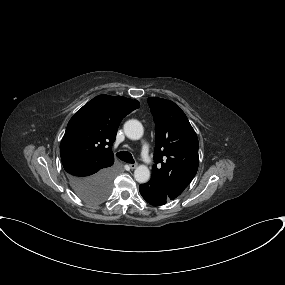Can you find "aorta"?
Returning <instances> with one entry per match:
<instances>
[{
  "mask_svg": "<svg viewBox=\"0 0 285 285\" xmlns=\"http://www.w3.org/2000/svg\"><path fill=\"white\" fill-rule=\"evenodd\" d=\"M125 135L131 140H139L144 133L141 122L131 119L124 124ZM134 178L139 183H146L150 179V170L146 165H139L134 171Z\"/></svg>",
  "mask_w": 285,
  "mask_h": 285,
  "instance_id": "762f6f07",
  "label": "aorta"
}]
</instances>
